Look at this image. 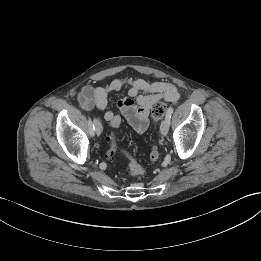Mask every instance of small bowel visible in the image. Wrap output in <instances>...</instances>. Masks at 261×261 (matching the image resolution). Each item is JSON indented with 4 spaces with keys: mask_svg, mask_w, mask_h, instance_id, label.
<instances>
[{
    "mask_svg": "<svg viewBox=\"0 0 261 261\" xmlns=\"http://www.w3.org/2000/svg\"><path fill=\"white\" fill-rule=\"evenodd\" d=\"M124 88L128 89V95L118 101L117 108L138 133H143L148 128L149 113L155 103L160 100L176 102L180 99L177 87L171 82L113 79L103 86H84L78 94V101L85 110L103 111L108 105V94ZM116 117L120 118L113 111L104 113L106 121L111 122Z\"/></svg>",
    "mask_w": 261,
    "mask_h": 261,
    "instance_id": "1",
    "label": "small bowel"
}]
</instances>
